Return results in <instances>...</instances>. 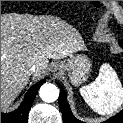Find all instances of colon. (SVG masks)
<instances>
[{"label":"colon","mask_w":123,"mask_h":123,"mask_svg":"<svg viewBox=\"0 0 123 123\" xmlns=\"http://www.w3.org/2000/svg\"><path fill=\"white\" fill-rule=\"evenodd\" d=\"M93 6H94L95 8H99V7H100V4H99V2H93Z\"/></svg>","instance_id":"1"}]
</instances>
